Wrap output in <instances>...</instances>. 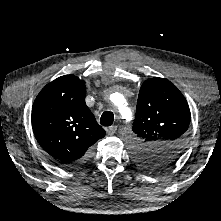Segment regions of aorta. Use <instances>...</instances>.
<instances>
[{"label": "aorta", "instance_id": "762f6f07", "mask_svg": "<svg viewBox=\"0 0 221 221\" xmlns=\"http://www.w3.org/2000/svg\"><path fill=\"white\" fill-rule=\"evenodd\" d=\"M115 104L117 105L119 112L123 119L129 123L132 121V115L130 109L127 107L124 97L121 94H116Z\"/></svg>", "mask_w": 221, "mask_h": 221}]
</instances>
